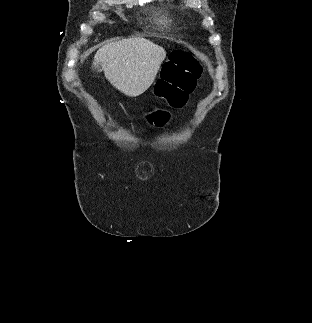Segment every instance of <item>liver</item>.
Instances as JSON below:
<instances>
[{
    "mask_svg": "<svg viewBox=\"0 0 312 323\" xmlns=\"http://www.w3.org/2000/svg\"><path fill=\"white\" fill-rule=\"evenodd\" d=\"M166 58L161 46L145 38H126L108 42L94 56V66H101L105 78L125 96L136 98L153 84Z\"/></svg>",
    "mask_w": 312,
    "mask_h": 323,
    "instance_id": "obj_1",
    "label": "liver"
}]
</instances>
